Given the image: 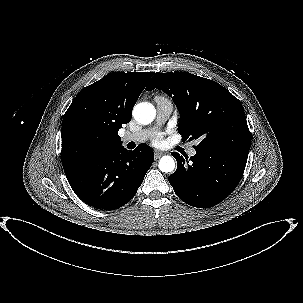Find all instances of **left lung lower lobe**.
<instances>
[{
	"label": "left lung lower lobe",
	"instance_id": "0a47b994",
	"mask_svg": "<svg viewBox=\"0 0 303 303\" xmlns=\"http://www.w3.org/2000/svg\"><path fill=\"white\" fill-rule=\"evenodd\" d=\"M187 161L177 152L176 171L169 176L176 195L185 203L210 208L222 202L238 185L249 151L201 148Z\"/></svg>",
	"mask_w": 303,
	"mask_h": 303
}]
</instances>
